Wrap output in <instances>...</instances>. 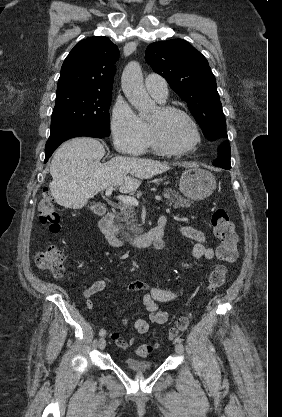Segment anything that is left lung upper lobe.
Wrapping results in <instances>:
<instances>
[{
    "label": "left lung upper lobe",
    "instance_id": "1",
    "mask_svg": "<svg viewBox=\"0 0 282 417\" xmlns=\"http://www.w3.org/2000/svg\"><path fill=\"white\" fill-rule=\"evenodd\" d=\"M145 59L187 102L208 140L227 138L226 121L215 77L206 58L187 41L173 39L150 44Z\"/></svg>",
    "mask_w": 282,
    "mask_h": 417
}]
</instances>
